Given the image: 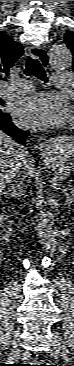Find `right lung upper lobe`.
<instances>
[{"mask_svg": "<svg viewBox=\"0 0 74 366\" xmlns=\"http://www.w3.org/2000/svg\"><path fill=\"white\" fill-rule=\"evenodd\" d=\"M21 44L15 42L6 33L0 32V81L9 75V69L23 55Z\"/></svg>", "mask_w": 74, "mask_h": 366, "instance_id": "right-lung-upper-lobe-1", "label": "right lung upper lobe"}]
</instances>
